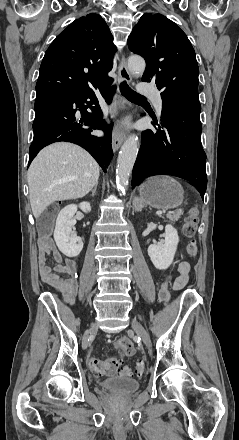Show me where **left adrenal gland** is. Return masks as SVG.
I'll return each mask as SVG.
<instances>
[{
	"mask_svg": "<svg viewBox=\"0 0 239 440\" xmlns=\"http://www.w3.org/2000/svg\"><path fill=\"white\" fill-rule=\"evenodd\" d=\"M135 210H137V212H141V208H143V206H141V204H136V202H134L133 204Z\"/></svg>",
	"mask_w": 239,
	"mask_h": 440,
	"instance_id": "a2214340",
	"label": "left adrenal gland"
}]
</instances>
